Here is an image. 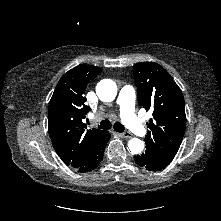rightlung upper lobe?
<instances>
[{"instance_id": "obj_1", "label": "right lung upper lobe", "mask_w": 221, "mask_h": 221, "mask_svg": "<svg viewBox=\"0 0 221 221\" xmlns=\"http://www.w3.org/2000/svg\"><path fill=\"white\" fill-rule=\"evenodd\" d=\"M102 69L81 64L59 80L48 107V131L52 145L60 159L75 169L93 154L105 130H86L83 123L89 107L85 105L87 84Z\"/></svg>"}]
</instances>
